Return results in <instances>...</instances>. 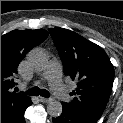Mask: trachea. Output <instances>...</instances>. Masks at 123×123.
<instances>
[{"label":"trachea","instance_id":"obj_1","mask_svg":"<svg viewBox=\"0 0 123 123\" xmlns=\"http://www.w3.org/2000/svg\"><path fill=\"white\" fill-rule=\"evenodd\" d=\"M27 94L30 96H42V97H49L50 93L46 89H40L39 87H33L27 91Z\"/></svg>","mask_w":123,"mask_h":123}]
</instances>
